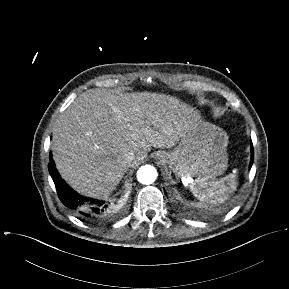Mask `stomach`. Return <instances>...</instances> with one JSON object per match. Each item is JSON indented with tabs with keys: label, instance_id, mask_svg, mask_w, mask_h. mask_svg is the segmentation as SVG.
I'll return each instance as SVG.
<instances>
[{
	"label": "stomach",
	"instance_id": "1",
	"mask_svg": "<svg viewBox=\"0 0 289 289\" xmlns=\"http://www.w3.org/2000/svg\"><path fill=\"white\" fill-rule=\"evenodd\" d=\"M227 133L193 112L179 144L164 152L165 162L177 177L196 176L205 180L221 175L228 164Z\"/></svg>",
	"mask_w": 289,
	"mask_h": 289
}]
</instances>
